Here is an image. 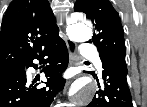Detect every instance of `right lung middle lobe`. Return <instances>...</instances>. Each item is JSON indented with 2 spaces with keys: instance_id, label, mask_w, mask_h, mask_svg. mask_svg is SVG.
I'll use <instances>...</instances> for the list:
<instances>
[{
  "instance_id": "right-lung-middle-lobe-1",
  "label": "right lung middle lobe",
  "mask_w": 147,
  "mask_h": 107,
  "mask_svg": "<svg viewBox=\"0 0 147 107\" xmlns=\"http://www.w3.org/2000/svg\"><path fill=\"white\" fill-rule=\"evenodd\" d=\"M19 67H12V68H6V69H0V78L5 76L6 74L18 69Z\"/></svg>"
}]
</instances>
